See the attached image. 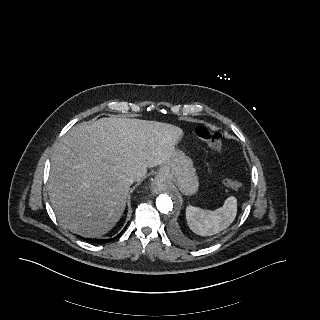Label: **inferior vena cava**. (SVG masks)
<instances>
[{"instance_id":"obj_1","label":"inferior vena cava","mask_w":320,"mask_h":320,"mask_svg":"<svg viewBox=\"0 0 320 320\" xmlns=\"http://www.w3.org/2000/svg\"><path fill=\"white\" fill-rule=\"evenodd\" d=\"M128 182L130 184H132L135 180H136V177L135 175L131 174L128 178H127Z\"/></svg>"}]
</instances>
